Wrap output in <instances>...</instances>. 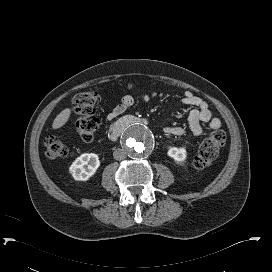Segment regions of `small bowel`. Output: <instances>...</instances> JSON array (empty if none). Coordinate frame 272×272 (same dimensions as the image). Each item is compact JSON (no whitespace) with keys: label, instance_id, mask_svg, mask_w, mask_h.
Returning a JSON list of instances; mask_svg holds the SVG:
<instances>
[{"label":"small bowel","instance_id":"small-bowel-1","mask_svg":"<svg viewBox=\"0 0 272 272\" xmlns=\"http://www.w3.org/2000/svg\"><path fill=\"white\" fill-rule=\"evenodd\" d=\"M157 95V91L152 94L142 93L140 99L143 102H149L152 98ZM134 103V98L131 95L124 96L120 103L116 105L107 116L108 121H113L124 111L130 108ZM181 104L190 105L195 107L190 110L188 114V124L191 133L199 137L202 134L201 124H206L210 129H218L221 127V120L214 117L211 110L209 109L208 103L199 96H196L191 91H186L184 97L181 99ZM164 131L167 134L180 136L186 133V129L178 126H170L165 124Z\"/></svg>","mask_w":272,"mask_h":272}]
</instances>
